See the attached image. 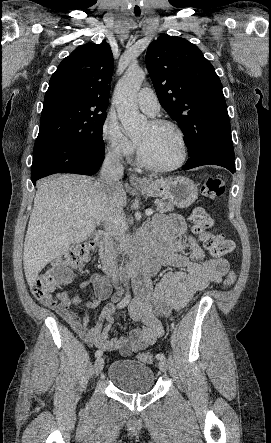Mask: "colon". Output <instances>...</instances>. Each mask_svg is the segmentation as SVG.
Listing matches in <instances>:
<instances>
[{"instance_id":"5ec220e1","label":"colon","mask_w":271,"mask_h":443,"mask_svg":"<svg viewBox=\"0 0 271 443\" xmlns=\"http://www.w3.org/2000/svg\"><path fill=\"white\" fill-rule=\"evenodd\" d=\"M225 193L224 181L218 177L208 178L202 185V194L214 199ZM192 229L204 244L212 257H222L234 249V243L223 234L212 230L214 219L203 208L193 211L190 217ZM94 244L85 242L70 248L60 258L45 267L31 284V292L34 297L43 299L52 294L58 288L67 284L74 270L79 269L92 255ZM236 275L229 272L224 280V287L234 284ZM138 359L143 363H151L154 357L149 352H142Z\"/></svg>"}]
</instances>
